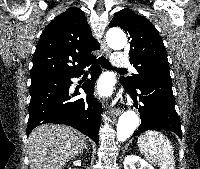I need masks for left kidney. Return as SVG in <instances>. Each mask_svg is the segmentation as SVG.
<instances>
[{"instance_id":"1","label":"left kidney","mask_w":200,"mask_h":169,"mask_svg":"<svg viewBox=\"0 0 200 169\" xmlns=\"http://www.w3.org/2000/svg\"><path fill=\"white\" fill-rule=\"evenodd\" d=\"M123 164L124 169H154L151 164L136 155H128Z\"/></svg>"}]
</instances>
